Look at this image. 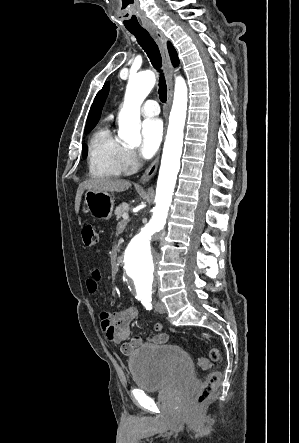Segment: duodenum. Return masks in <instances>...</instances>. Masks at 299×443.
I'll use <instances>...</instances> for the list:
<instances>
[{"label": "duodenum", "instance_id": "1", "mask_svg": "<svg viewBox=\"0 0 299 443\" xmlns=\"http://www.w3.org/2000/svg\"><path fill=\"white\" fill-rule=\"evenodd\" d=\"M116 264H117L118 266H120V265L123 264V258H122L121 256H117V257H116Z\"/></svg>", "mask_w": 299, "mask_h": 443}]
</instances>
